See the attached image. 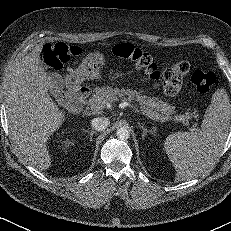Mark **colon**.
Instances as JSON below:
<instances>
[{
  "mask_svg": "<svg viewBox=\"0 0 231 231\" xmlns=\"http://www.w3.org/2000/svg\"><path fill=\"white\" fill-rule=\"evenodd\" d=\"M112 52L120 59L130 62L135 69L144 72L151 80L161 79L163 89L169 95H175L181 90L184 77L190 70V63L187 60H180L161 74L148 53L129 43L115 45ZM80 54L79 47L64 42L47 44L42 50L45 64L54 70H60L65 63ZM191 81L198 93L205 94L215 83V75L212 72L198 70L192 74ZM56 94L60 95V92L57 90Z\"/></svg>",
  "mask_w": 231,
  "mask_h": 231,
  "instance_id": "1",
  "label": "colon"
}]
</instances>
